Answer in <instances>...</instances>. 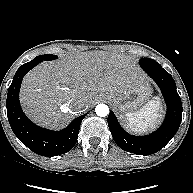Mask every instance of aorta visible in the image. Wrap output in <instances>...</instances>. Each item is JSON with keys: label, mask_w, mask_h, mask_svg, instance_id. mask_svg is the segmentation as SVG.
Returning <instances> with one entry per match:
<instances>
[{"label": "aorta", "mask_w": 193, "mask_h": 193, "mask_svg": "<svg viewBox=\"0 0 193 193\" xmlns=\"http://www.w3.org/2000/svg\"><path fill=\"white\" fill-rule=\"evenodd\" d=\"M95 112L100 117H105L109 114V107L105 104H98L95 108Z\"/></svg>", "instance_id": "aorta-1"}]
</instances>
